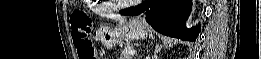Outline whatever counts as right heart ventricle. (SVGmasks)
<instances>
[{
  "label": "right heart ventricle",
  "instance_id": "1",
  "mask_svg": "<svg viewBox=\"0 0 261 59\" xmlns=\"http://www.w3.org/2000/svg\"><path fill=\"white\" fill-rule=\"evenodd\" d=\"M103 10H105V11H106V10H109V9H108V8H103Z\"/></svg>",
  "mask_w": 261,
  "mask_h": 59
}]
</instances>
